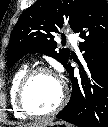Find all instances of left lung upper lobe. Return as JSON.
Listing matches in <instances>:
<instances>
[{
    "mask_svg": "<svg viewBox=\"0 0 108 127\" xmlns=\"http://www.w3.org/2000/svg\"><path fill=\"white\" fill-rule=\"evenodd\" d=\"M85 0H38L26 9L15 25L7 54V66L27 53H43L58 60L64 67L70 58L68 49L57 50L54 33L63 25L74 28L78 22ZM100 68L90 69L92 82L96 85L100 79Z\"/></svg>",
    "mask_w": 108,
    "mask_h": 127,
    "instance_id": "5c2ea615",
    "label": "left lung upper lobe"
}]
</instances>
